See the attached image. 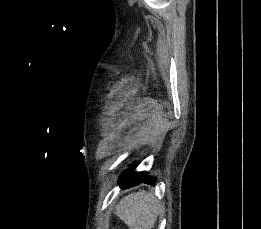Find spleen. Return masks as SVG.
I'll use <instances>...</instances> for the list:
<instances>
[{"label": "spleen", "mask_w": 261, "mask_h": 229, "mask_svg": "<svg viewBox=\"0 0 261 229\" xmlns=\"http://www.w3.org/2000/svg\"><path fill=\"white\" fill-rule=\"evenodd\" d=\"M160 205L147 191L131 193L123 197L115 207V215L129 229H153Z\"/></svg>", "instance_id": "spleen-1"}]
</instances>
